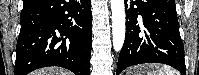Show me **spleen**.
Returning a JSON list of instances; mask_svg holds the SVG:
<instances>
[{
    "mask_svg": "<svg viewBox=\"0 0 199 75\" xmlns=\"http://www.w3.org/2000/svg\"><path fill=\"white\" fill-rule=\"evenodd\" d=\"M149 68H156V71H154L153 73L152 71H147L145 73L146 75H179L177 71H175L169 66H161V67L150 66Z\"/></svg>",
    "mask_w": 199,
    "mask_h": 75,
    "instance_id": "obj_1",
    "label": "spleen"
}]
</instances>
